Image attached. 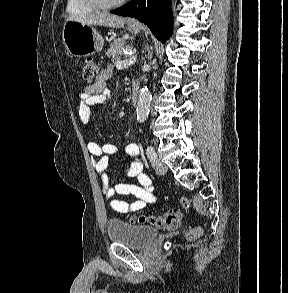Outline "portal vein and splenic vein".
Returning <instances> with one entry per match:
<instances>
[{"instance_id": "obj_1", "label": "portal vein and splenic vein", "mask_w": 288, "mask_h": 293, "mask_svg": "<svg viewBox=\"0 0 288 293\" xmlns=\"http://www.w3.org/2000/svg\"><path fill=\"white\" fill-rule=\"evenodd\" d=\"M136 62V58L133 56V57H130L128 59H125L123 61H117L115 66L116 68H123V67H127V66H130L132 64H134Z\"/></svg>"}]
</instances>
